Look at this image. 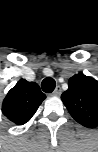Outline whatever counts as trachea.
<instances>
[{"label": "trachea", "mask_w": 98, "mask_h": 152, "mask_svg": "<svg viewBox=\"0 0 98 152\" xmlns=\"http://www.w3.org/2000/svg\"><path fill=\"white\" fill-rule=\"evenodd\" d=\"M56 86V82L53 78L47 77L41 83V88L46 93H51Z\"/></svg>", "instance_id": "trachea-1"}]
</instances>
